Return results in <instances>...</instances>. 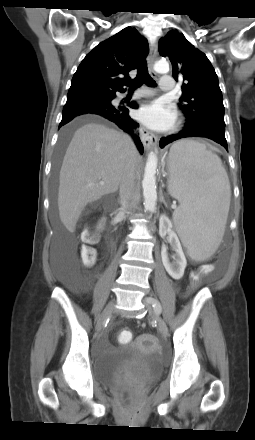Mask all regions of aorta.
Here are the masks:
<instances>
[{
    "mask_svg": "<svg viewBox=\"0 0 255 440\" xmlns=\"http://www.w3.org/2000/svg\"><path fill=\"white\" fill-rule=\"evenodd\" d=\"M154 70L157 73H167L169 71V64L166 61H157L154 65ZM156 169H157V155L151 152L145 165L144 176L142 180L144 208L146 211L153 212L157 204L156 191Z\"/></svg>",
    "mask_w": 255,
    "mask_h": 440,
    "instance_id": "1",
    "label": "aorta"
}]
</instances>
